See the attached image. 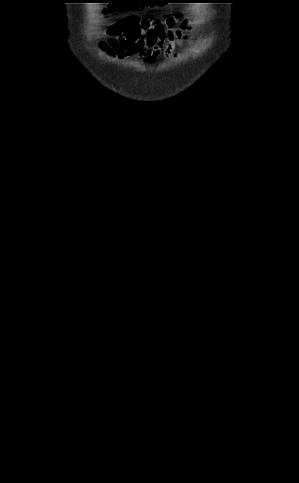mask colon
<instances>
[{
	"label": "colon",
	"mask_w": 299,
	"mask_h": 483,
	"mask_svg": "<svg viewBox=\"0 0 299 483\" xmlns=\"http://www.w3.org/2000/svg\"><path fill=\"white\" fill-rule=\"evenodd\" d=\"M107 5L108 6L106 8V12H112V11L115 10L116 5H128V6H130V3H129V1H119L118 4L116 3V4H107Z\"/></svg>",
	"instance_id": "colon-1"
}]
</instances>
